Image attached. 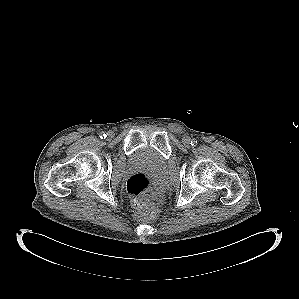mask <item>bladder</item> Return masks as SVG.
<instances>
[{"instance_id": "31cf9c89", "label": "bladder", "mask_w": 299, "mask_h": 299, "mask_svg": "<svg viewBox=\"0 0 299 299\" xmlns=\"http://www.w3.org/2000/svg\"><path fill=\"white\" fill-rule=\"evenodd\" d=\"M166 159L150 146H140L133 150L122 163L120 169L126 171L140 165L166 166Z\"/></svg>"}]
</instances>
